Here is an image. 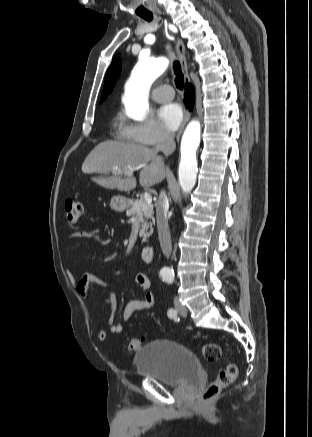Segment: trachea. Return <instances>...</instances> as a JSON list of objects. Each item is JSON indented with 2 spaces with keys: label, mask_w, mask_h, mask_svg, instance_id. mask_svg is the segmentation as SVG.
Returning <instances> with one entry per match:
<instances>
[{
  "label": "trachea",
  "mask_w": 312,
  "mask_h": 437,
  "mask_svg": "<svg viewBox=\"0 0 312 437\" xmlns=\"http://www.w3.org/2000/svg\"><path fill=\"white\" fill-rule=\"evenodd\" d=\"M141 17L148 22L153 19L152 14L141 15ZM173 69H174V73L176 75L175 84H176L178 89H183L184 75L182 74L181 66H180V63L178 61H174Z\"/></svg>",
  "instance_id": "obj_1"
}]
</instances>
